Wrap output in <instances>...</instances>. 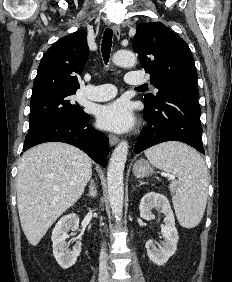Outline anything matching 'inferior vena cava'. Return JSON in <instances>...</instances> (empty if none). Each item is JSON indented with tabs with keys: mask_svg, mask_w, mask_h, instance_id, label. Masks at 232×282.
Instances as JSON below:
<instances>
[{
	"mask_svg": "<svg viewBox=\"0 0 232 282\" xmlns=\"http://www.w3.org/2000/svg\"><path fill=\"white\" fill-rule=\"evenodd\" d=\"M99 276L101 280H106L108 278V269H107V255L105 250H101L99 257Z\"/></svg>",
	"mask_w": 232,
	"mask_h": 282,
	"instance_id": "602c4592",
	"label": "inferior vena cava"
}]
</instances>
